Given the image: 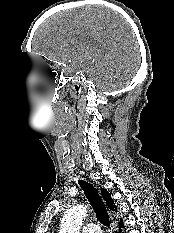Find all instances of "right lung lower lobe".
Segmentation results:
<instances>
[{
	"instance_id": "obj_1",
	"label": "right lung lower lobe",
	"mask_w": 174,
	"mask_h": 233,
	"mask_svg": "<svg viewBox=\"0 0 174 233\" xmlns=\"http://www.w3.org/2000/svg\"><path fill=\"white\" fill-rule=\"evenodd\" d=\"M123 227V225H120V228ZM119 233H121V230H119Z\"/></svg>"
}]
</instances>
